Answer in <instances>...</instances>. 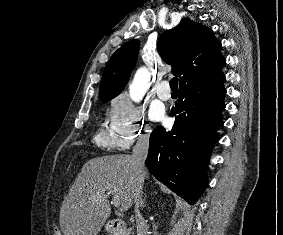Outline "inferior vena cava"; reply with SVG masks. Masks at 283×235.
<instances>
[{"label":"inferior vena cava","instance_id":"602c4592","mask_svg":"<svg viewBox=\"0 0 283 235\" xmlns=\"http://www.w3.org/2000/svg\"><path fill=\"white\" fill-rule=\"evenodd\" d=\"M149 150V134L139 136L132 151V159L135 167L136 186L134 193L137 235H148L149 226L139 211L142 201V189L145 179L146 167L145 160Z\"/></svg>","mask_w":283,"mask_h":235}]
</instances>
